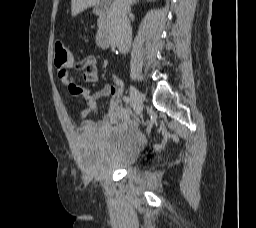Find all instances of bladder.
<instances>
[{
    "label": "bladder",
    "mask_w": 256,
    "mask_h": 228,
    "mask_svg": "<svg viewBox=\"0 0 256 228\" xmlns=\"http://www.w3.org/2000/svg\"><path fill=\"white\" fill-rule=\"evenodd\" d=\"M145 135L135 126L113 128L96 136L81 133L76 139V151L95 179L114 170L130 169L145 144Z\"/></svg>",
    "instance_id": "31cf9c89"
}]
</instances>
